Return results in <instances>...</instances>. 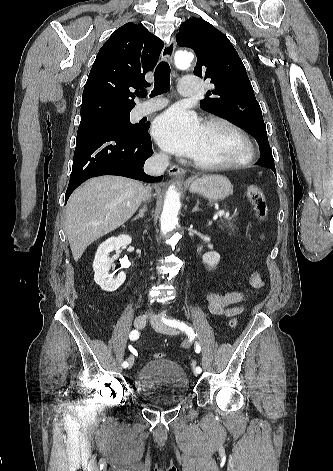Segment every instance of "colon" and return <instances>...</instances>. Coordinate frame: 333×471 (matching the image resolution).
Listing matches in <instances>:
<instances>
[{
  "instance_id": "1",
  "label": "colon",
  "mask_w": 333,
  "mask_h": 471,
  "mask_svg": "<svg viewBox=\"0 0 333 471\" xmlns=\"http://www.w3.org/2000/svg\"><path fill=\"white\" fill-rule=\"evenodd\" d=\"M246 195L251 202L257 217L260 220H266L268 216V207L263 190L259 186L251 184L246 188ZM237 324L238 321L236 318H231L227 323L228 327L231 329L236 328ZM163 357V353L158 352L154 354L155 359H162Z\"/></svg>"
}]
</instances>
